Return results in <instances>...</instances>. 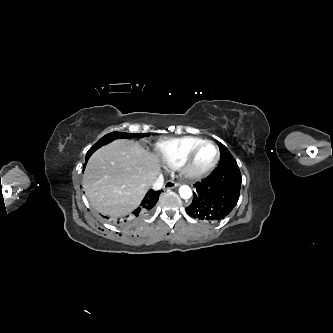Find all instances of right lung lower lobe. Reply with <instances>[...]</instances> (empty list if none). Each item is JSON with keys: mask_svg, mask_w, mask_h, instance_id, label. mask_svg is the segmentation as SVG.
I'll return each mask as SVG.
<instances>
[{"mask_svg": "<svg viewBox=\"0 0 333 333\" xmlns=\"http://www.w3.org/2000/svg\"><path fill=\"white\" fill-rule=\"evenodd\" d=\"M92 153H93L92 150H89L87 152L85 165ZM85 165H84V167H85ZM159 195H160V191L149 190L148 193L146 194V196L144 197L143 201L141 202L140 206L134 210L133 213L135 214V216H138L139 214H143V213L149 211L150 209H152L156 205Z\"/></svg>", "mask_w": 333, "mask_h": 333, "instance_id": "1", "label": "right lung lower lobe"}]
</instances>
